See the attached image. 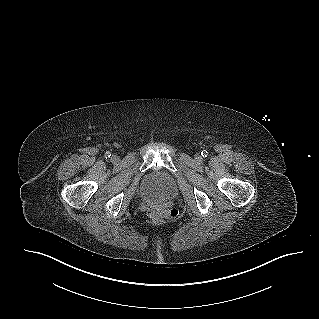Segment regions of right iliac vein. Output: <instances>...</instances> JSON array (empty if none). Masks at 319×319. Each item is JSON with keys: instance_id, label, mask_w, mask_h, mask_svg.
<instances>
[{"instance_id": "right-iliac-vein-1", "label": "right iliac vein", "mask_w": 319, "mask_h": 319, "mask_svg": "<svg viewBox=\"0 0 319 319\" xmlns=\"http://www.w3.org/2000/svg\"><path fill=\"white\" fill-rule=\"evenodd\" d=\"M111 160H112V162H118L119 161V157L117 155H112L111 156Z\"/></svg>"}]
</instances>
